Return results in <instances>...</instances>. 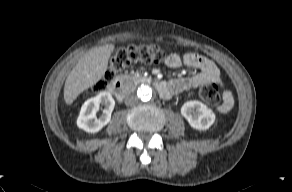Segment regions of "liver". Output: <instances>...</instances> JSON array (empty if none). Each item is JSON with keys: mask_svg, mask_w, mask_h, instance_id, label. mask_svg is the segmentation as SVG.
I'll list each match as a JSON object with an SVG mask.
<instances>
[{"mask_svg": "<svg viewBox=\"0 0 292 192\" xmlns=\"http://www.w3.org/2000/svg\"><path fill=\"white\" fill-rule=\"evenodd\" d=\"M113 50L114 45L107 44L89 50L79 59L65 81L64 101L67 105L103 77Z\"/></svg>", "mask_w": 292, "mask_h": 192, "instance_id": "1", "label": "liver"}]
</instances>
